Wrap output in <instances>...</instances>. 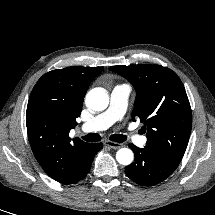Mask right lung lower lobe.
<instances>
[{"label":"right lung lower lobe","instance_id":"98d812e1","mask_svg":"<svg viewBox=\"0 0 215 215\" xmlns=\"http://www.w3.org/2000/svg\"><path fill=\"white\" fill-rule=\"evenodd\" d=\"M102 147H103V145L101 143L91 144L85 159L82 161L81 169H80L77 177L73 181V183L80 181L88 174L95 154L99 150H101ZM73 183H71V184H73Z\"/></svg>","mask_w":215,"mask_h":215}]
</instances>
